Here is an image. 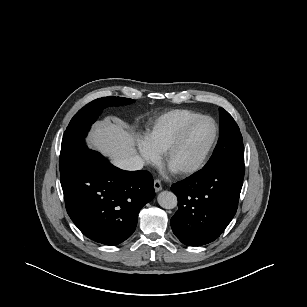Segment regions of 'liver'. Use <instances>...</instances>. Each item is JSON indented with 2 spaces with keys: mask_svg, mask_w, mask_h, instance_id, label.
<instances>
[{
  "mask_svg": "<svg viewBox=\"0 0 307 307\" xmlns=\"http://www.w3.org/2000/svg\"><path fill=\"white\" fill-rule=\"evenodd\" d=\"M89 146L108 156L114 164L118 159L137 154L134 135L119 121L105 120L96 124L89 137Z\"/></svg>",
  "mask_w": 307,
  "mask_h": 307,
  "instance_id": "6515ba94",
  "label": "liver"
}]
</instances>
